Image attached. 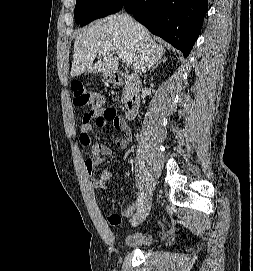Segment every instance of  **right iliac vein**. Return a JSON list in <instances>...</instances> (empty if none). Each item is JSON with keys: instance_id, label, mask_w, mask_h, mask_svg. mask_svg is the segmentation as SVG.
Returning <instances> with one entry per match:
<instances>
[{"instance_id": "1", "label": "right iliac vein", "mask_w": 253, "mask_h": 271, "mask_svg": "<svg viewBox=\"0 0 253 271\" xmlns=\"http://www.w3.org/2000/svg\"><path fill=\"white\" fill-rule=\"evenodd\" d=\"M150 210H151V201L150 198L147 197L133 217L132 220L133 226H138L139 224H141L148 216Z\"/></svg>"}]
</instances>
